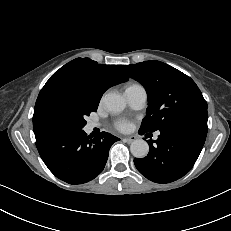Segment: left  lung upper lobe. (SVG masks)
I'll return each mask as SVG.
<instances>
[{"label":"left lung upper lobe","mask_w":231,"mask_h":231,"mask_svg":"<svg viewBox=\"0 0 231 231\" xmlns=\"http://www.w3.org/2000/svg\"><path fill=\"white\" fill-rule=\"evenodd\" d=\"M120 69L146 89L148 108L141 129L154 132L187 121L207 123V103L195 82L181 71L155 60Z\"/></svg>","instance_id":"5c2ea615"}]
</instances>
